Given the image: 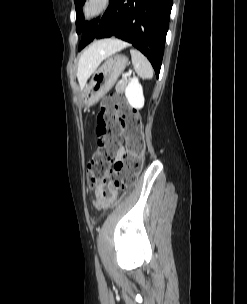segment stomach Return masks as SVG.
<instances>
[{
	"label": "stomach",
	"mask_w": 247,
	"mask_h": 304,
	"mask_svg": "<svg viewBox=\"0 0 247 304\" xmlns=\"http://www.w3.org/2000/svg\"><path fill=\"white\" fill-rule=\"evenodd\" d=\"M127 65L128 58L124 55L109 57L94 72L89 84L84 88L81 96V105L90 107L97 103L113 87Z\"/></svg>",
	"instance_id": "stomach-1"
}]
</instances>
